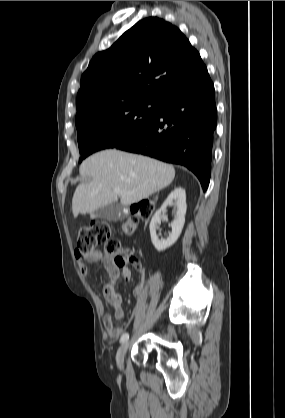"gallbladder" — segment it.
Here are the masks:
<instances>
[{
    "mask_svg": "<svg viewBox=\"0 0 285 418\" xmlns=\"http://www.w3.org/2000/svg\"><path fill=\"white\" fill-rule=\"evenodd\" d=\"M91 218H101L108 221H118L123 218V206L121 204H108L90 212Z\"/></svg>",
    "mask_w": 285,
    "mask_h": 418,
    "instance_id": "obj_1",
    "label": "gallbladder"
}]
</instances>
